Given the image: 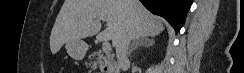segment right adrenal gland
<instances>
[{"mask_svg":"<svg viewBox=\"0 0 244 73\" xmlns=\"http://www.w3.org/2000/svg\"><path fill=\"white\" fill-rule=\"evenodd\" d=\"M154 43H155L154 39L153 38L150 39L149 37H143V38L136 39L131 44L128 54L130 55L131 52L139 46L148 47V46L154 45Z\"/></svg>","mask_w":244,"mask_h":73,"instance_id":"right-adrenal-gland-1","label":"right adrenal gland"}]
</instances>
